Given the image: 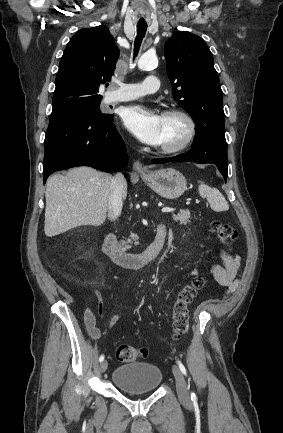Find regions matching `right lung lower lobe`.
Returning a JSON list of instances; mask_svg holds the SVG:
<instances>
[{"label":"right lung lower lobe","mask_w":283,"mask_h":433,"mask_svg":"<svg viewBox=\"0 0 283 433\" xmlns=\"http://www.w3.org/2000/svg\"><path fill=\"white\" fill-rule=\"evenodd\" d=\"M114 115H75L50 119L44 141L43 179L55 171L90 166L112 173L126 167L125 144Z\"/></svg>","instance_id":"right-lung-lower-lobe-1"}]
</instances>
